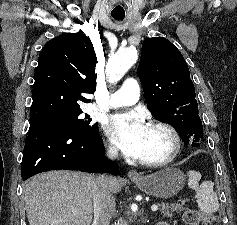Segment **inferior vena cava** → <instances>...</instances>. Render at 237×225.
Wrapping results in <instances>:
<instances>
[{"mask_svg": "<svg viewBox=\"0 0 237 225\" xmlns=\"http://www.w3.org/2000/svg\"><path fill=\"white\" fill-rule=\"evenodd\" d=\"M118 150L114 146H110L107 156L110 159L117 157ZM115 179L100 175L97 177V186L93 191V207H94V225H109L110 220L115 213V199L112 195V185Z\"/></svg>", "mask_w": 237, "mask_h": 225, "instance_id": "inferior-vena-cava-1", "label": "inferior vena cava"}]
</instances>
